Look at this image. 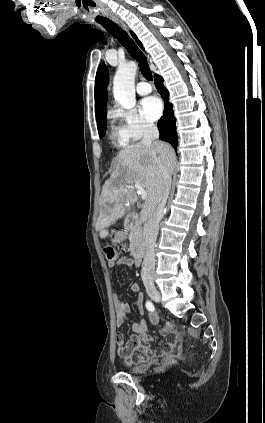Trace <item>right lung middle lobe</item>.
Masks as SVG:
<instances>
[{"label": "right lung middle lobe", "instance_id": "right-lung-middle-lobe-1", "mask_svg": "<svg viewBox=\"0 0 265 423\" xmlns=\"http://www.w3.org/2000/svg\"><path fill=\"white\" fill-rule=\"evenodd\" d=\"M100 138L106 133V115L97 123Z\"/></svg>", "mask_w": 265, "mask_h": 423}]
</instances>
